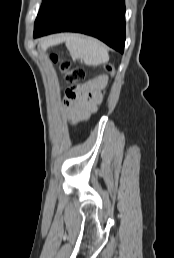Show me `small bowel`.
I'll list each match as a JSON object with an SVG mask.
<instances>
[{"label": "small bowel", "instance_id": "c3829d8e", "mask_svg": "<svg viewBox=\"0 0 174 258\" xmlns=\"http://www.w3.org/2000/svg\"><path fill=\"white\" fill-rule=\"evenodd\" d=\"M108 85L105 75H98L90 79L79 91L75 99L65 97V106L72 122L86 118L95 111L96 105H101L103 96L101 90Z\"/></svg>", "mask_w": 174, "mask_h": 258}]
</instances>
